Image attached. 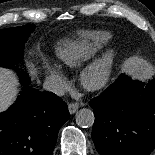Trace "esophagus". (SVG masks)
Masks as SVG:
<instances>
[{"mask_svg": "<svg viewBox=\"0 0 155 155\" xmlns=\"http://www.w3.org/2000/svg\"><path fill=\"white\" fill-rule=\"evenodd\" d=\"M79 108V104L78 103H71L68 106V110L70 112V114H74Z\"/></svg>", "mask_w": 155, "mask_h": 155, "instance_id": "34e87169", "label": "esophagus"}]
</instances>
